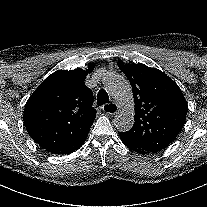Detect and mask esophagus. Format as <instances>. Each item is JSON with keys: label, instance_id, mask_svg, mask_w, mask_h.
<instances>
[{"label": "esophagus", "instance_id": "34e87169", "mask_svg": "<svg viewBox=\"0 0 207 207\" xmlns=\"http://www.w3.org/2000/svg\"><path fill=\"white\" fill-rule=\"evenodd\" d=\"M103 110L106 114L112 115L117 112V107L114 103L108 102L104 105Z\"/></svg>", "mask_w": 207, "mask_h": 207}]
</instances>
